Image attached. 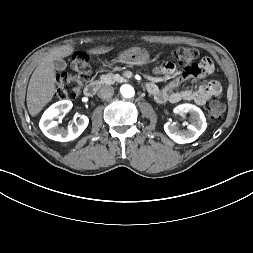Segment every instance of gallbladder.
<instances>
[{
	"mask_svg": "<svg viewBox=\"0 0 253 253\" xmlns=\"http://www.w3.org/2000/svg\"><path fill=\"white\" fill-rule=\"evenodd\" d=\"M53 64H54L55 69L58 70V71L65 70L66 66H67L66 62L64 60H62V59H55L53 61Z\"/></svg>",
	"mask_w": 253,
	"mask_h": 253,
	"instance_id": "gallbladder-1",
	"label": "gallbladder"
}]
</instances>
